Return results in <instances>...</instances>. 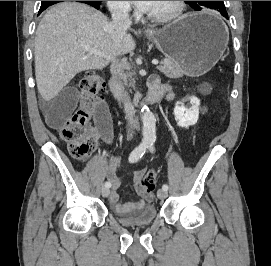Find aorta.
Returning <instances> with one entry per match:
<instances>
[{
	"label": "aorta",
	"instance_id": "762f6f07",
	"mask_svg": "<svg viewBox=\"0 0 271 266\" xmlns=\"http://www.w3.org/2000/svg\"><path fill=\"white\" fill-rule=\"evenodd\" d=\"M142 134L145 140H153L156 137V119L149 108L141 104Z\"/></svg>",
	"mask_w": 271,
	"mask_h": 266
}]
</instances>
